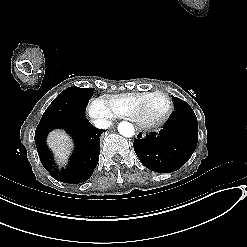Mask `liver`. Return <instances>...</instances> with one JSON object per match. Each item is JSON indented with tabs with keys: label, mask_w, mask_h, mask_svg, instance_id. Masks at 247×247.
<instances>
[{
	"label": "liver",
	"mask_w": 247,
	"mask_h": 247,
	"mask_svg": "<svg viewBox=\"0 0 247 247\" xmlns=\"http://www.w3.org/2000/svg\"><path fill=\"white\" fill-rule=\"evenodd\" d=\"M48 144L58 154L60 159L65 158V154L69 149V142L65 134L60 132L51 133L48 138Z\"/></svg>",
	"instance_id": "6515ba94"
}]
</instances>
